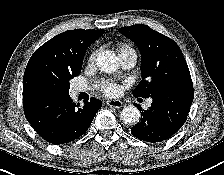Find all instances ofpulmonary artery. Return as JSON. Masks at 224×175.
Wrapping results in <instances>:
<instances>
[{
	"label": "pulmonary artery",
	"instance_id": "pulmonary-artery-1",
	"mask_svg": "<svg viewBox=\"0 0 224 175\" xmlns=\"http://www.w3.org/2000/svg\"><path fill=\"white\" fill-rule=\"evenodd\" d=\"M120 64L123 69H131L135 66L137 62V54L134 50H126L122 51L119 54ZM87 88L83 85H75L73 87L74 93H79L81 91H85ZM151 103V100L148 101V104Z\"/></svg>",
	"mask_w": 224,
	"mask_h": 175
}]
</instances>
